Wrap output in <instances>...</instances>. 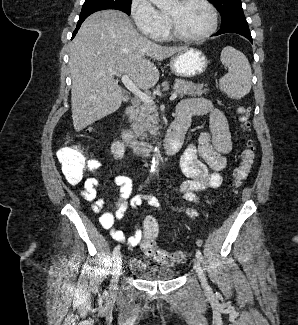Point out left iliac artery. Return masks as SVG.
I'll return each instance as SVG.
<instances>
[{"mask_svg":"<svg viewBox=\"0 0 298 325\" xmlns=\"http://www.w3.org/2000/svg\"><path fill=\"white\" fill-rule=\"evenodd\" d=\"M196 257H197L200 261L202 260L203 256H202V253H201L200 250H197V251H196Z\"/></svg>","mask_w":298,"mask_h":325,"instance_id":"left-iliac-artery-1","label":"left iliac artery"}]
</instances>
